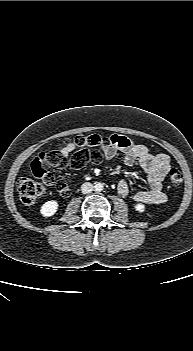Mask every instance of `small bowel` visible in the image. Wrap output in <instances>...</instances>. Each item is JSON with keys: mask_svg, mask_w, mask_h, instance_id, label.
<instances>
[{"mask_svg": "<svg viewBox=\"0 0 193 351\" xmlns=\"http://www.w3.org/2000/svg\"><path fill=\"white\" fill-rule=\"evenodd\" d=\"M112 144L103 149L105 159H113L118 151L123 153V161L126 165L138 164L147 174L150 188L138 190L132 193L129 183L121 179L117 183V190L122 196L132 195L136 202L150 205H159L166 202V194L163 191V181L170 167V158L166 154H153L141 144H136L130 139L120 135H112ZM73 143H62L58 145L61 155L68 157L74 149ZM69 194V189L67 190Z\"/></svg>", "mask_w": 193, "mask_h": 351, "instance_id": "c3829d8e", "label": "small bowel"}]
</instances>
